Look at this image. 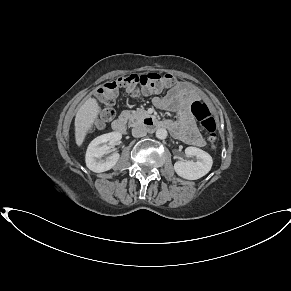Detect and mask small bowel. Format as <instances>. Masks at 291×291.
<instances>
[{"mask_svg": "<svg viewBox=\"0 0 291 291\" xmlns=\"http://www.w3.org/2000/svg\"><path fill=\"white\" fill-rule=\"evenodd\" d=\"M200 95L193 86L186 81H177L163 97H155L153 104L160 110L176 111L179 118L176 121L168 120L166 127L175 138L183 142L197 146H205V140L198 130L190 112V104L198 100Z\"/></svg>", "mask_w": 291, "mask_h": 291, "instance_id": "small-bowel-1", "label": "small bowel"}]
</instances>
